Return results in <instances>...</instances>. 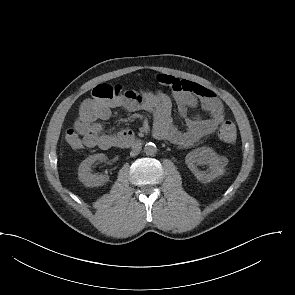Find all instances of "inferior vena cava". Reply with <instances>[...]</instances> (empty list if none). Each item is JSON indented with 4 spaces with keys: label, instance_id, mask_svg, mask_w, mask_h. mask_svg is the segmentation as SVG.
<instances>
[{
    "label": "inferior vena cava",
    "instance_id": "1",
    "mask_svg": "<svg viewBox=\"0 0 295 295\" xmlns=\"http://www.w3.org/2000/svg\"><path fill=\"white\" fill-rule=\"evenodd\" d=\"M140 151H141V146L135 145V146H133L132 151L130 152V155L132 157H134V156L138 155Z\"/></svg>",
    "mask_w": 295,
    "mask_h": 295
}]
</instances>
